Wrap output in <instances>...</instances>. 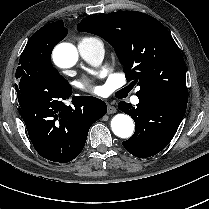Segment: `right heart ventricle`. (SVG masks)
Instances as JSON below:
<instances>
[{
	"label": "right heart ventricle",
	"instance_id": "1",
	"mask_svg": "<svg viewBox=\"0 0 209 209\" xmlns=\"http://www.w3.org/2000/svg\"><path fill=\"white\" fill-rule=\"evenodd\" d=\"M86 39H91V38H85V39H83V40H86Z\"/></svg>",
	"mask_w": 209,
	"mask_h": 209
}]
</instances>
